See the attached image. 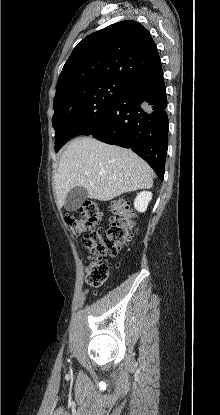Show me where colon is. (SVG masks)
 I'll return each instance as SVG.
<instances>
[{
  "instance_id": "5ec220e1",
  "label": "colon",
  "mask_w": 220,
  "mask_h": 415,
  "mask_svg": "<svg viewBox=\"0 0 220 415\" xmlns=\"http://www.w3.org/2000/svg\"><path fill=\"white\" fill-rule=\"evenodd\" d=\"M110 210L111 221L105 229L99 228L102 211L95 201H86L78 214L65 217L71 233L84 235L82 243L91 255L86 282L95 288L104 287L109 280L110 268L106 259L117 256L121 247L132 239L136 231L133 214L125 199L112 201Z\"/></svg>"
}]
</instances>
